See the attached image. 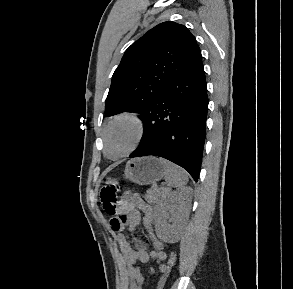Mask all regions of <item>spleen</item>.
I'll return each instance as SVG.
<instances>
[{"instance_id":"obj_1","label":"spleen","mask_w":293,"mask_h":289,"mask_svg":"<svg viewBox=\"0 0 293 289\" xmlns=\"http://www.w3.org/2000/svg\"><path fill=\"white\" fill-rule=\"evenodd\" d=\"M159 160L163 167L164 178L168 186L180 188L187 184L188 175L185 170L163 158Z\"/></svg>"}]
</instances>
